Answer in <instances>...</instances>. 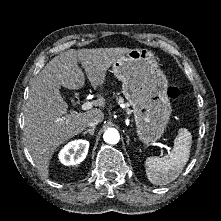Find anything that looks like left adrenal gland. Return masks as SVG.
<instances>
[{
	"instance_id": "obj_1",
	"label": "left adrenal gland",
	"mask_w": 221,
	"mask_h": 221,
	"mask_svg": "<svg viewBox=\"0 0 221 221\" xmlns=\"http://www.w3.org/2000/svg\"><path fill=\"white\" fill-rule=\"evenodd\" d=\"M129 142H130V138L129 136H127V144H129Z\"/></svg>"
}]
</instances>
